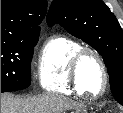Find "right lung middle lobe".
Returning a JSON list of instances; mask_svg holds the SVG:
<instances>
[{
  "instance_id": "dd1d6c3e",
  "label": "right lung middle lobe",
  "mask_w": 123,
  "mask_h": 113,
  "mask_svg": "<svg viewBox=\"0 0 123 113\" xmlns=\"http://www.w3.org/2000/svg\"><path fill=\"white\" fill-rule=\"evenodd\" d=\"M38 36L1 41V93L21 90L31 83L30 63Z\"/></svg>"
}]
</instances>
